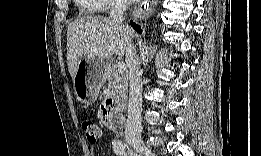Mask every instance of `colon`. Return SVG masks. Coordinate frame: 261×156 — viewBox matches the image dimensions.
I'll list each match as a JSON object with an SVG mask.
<instances>
[{"label":"colon","instance_id":"5ec220e1","mask_svg":"<svg viewBox=\"0 0 261 156\" xmlns=\"http://www.w3.org/2000/svg\"><path fill=\"white\" fill-rule=\"evenodd\" d=\"M111 114V106L106 103L103 107L104 123L110 124ZM81 128L86 135L87 141L90 144H96L101 135L100 127L90 117H83L81 119Z\"/></svg>","mask_w":261,"mask_h":156}]
</instances>
